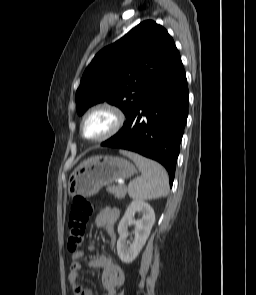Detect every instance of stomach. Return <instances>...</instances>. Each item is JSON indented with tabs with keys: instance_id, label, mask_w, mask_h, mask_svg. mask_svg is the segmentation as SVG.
<instances>
[{
	"instance_id": "obj_1",
	"label": "stomach",
	"mask_w": 256,
	"mask_h": 295,
	"mask_svg": "<svg viewBox=\"0 0 256 295\" xmlns=\"http://www.w3.org/2000/svg\"><path fill=\"white\" fill-rule=\"evenodd\" d=\"M135 172V166L124 158L110 155L95 156L74 170L69 178L68 194L90 197L98 193L103 186L119 178H129Z\"/></svg>"
}]
</instances>
